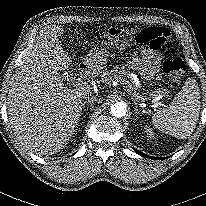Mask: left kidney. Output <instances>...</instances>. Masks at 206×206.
I'll use <instances>...</instances> for the list:
<instances>
[{"instance_id": "obj_1", "label": "left kidney", "mask_w": 206, "mask_h": 206, "mask_svg": "<svg viewBox=\"0 0 206 206\" xmlns=\"http://www.w3.org/2000/svg\"><path fill=\"white\" fill-rule=\"evenodd\" d=\"M145 132L147 133L148 138H150L151 140H152V139L154 140V133H153V131H152L151 128L146 127V128H145Z\"/></svg>"}]
</instances>
